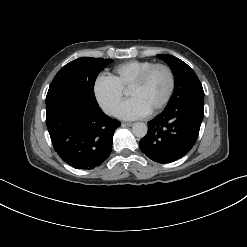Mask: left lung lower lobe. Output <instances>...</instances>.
I'll use <instances>...</instances> for the list:
<instances>
[{"mask_svg": "<svg viewBox=\"0 0 247 247\" xmlns=\"http://www.w3.org/2000/svg\"><path fill=\"white\" fill-rule=\"evenodd\" d=\"M204 115V97L185 98L166 107L148 122V132L139 146L151 160L169 163L184 156L194 146Z\"/></svg>", "mask_w": 247, "mask_h": 247, "instance_id": "0a47b994", "label": "left lung lower lobe"}]
</instances>
